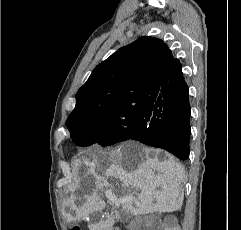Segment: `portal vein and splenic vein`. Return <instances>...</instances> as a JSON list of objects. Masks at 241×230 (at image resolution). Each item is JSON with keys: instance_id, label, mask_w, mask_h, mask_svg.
I'll return each mask as SVG.
<instances>
[{"instance_id": "portal-vein-and-splenic-vein-1", "label": "portal vein and splenic vein", "mask_w": 241, "mask_h": 230, "mask_svg": "<svg viewBox=\"0 0 241 230\" xmlns=\"http://www.w3.org/2000/svg\"><path fill=\"white\" fill-rule=\"evenodd\" d=\"M105 194H106V197H107L108 199L112 200V198H113L112 192H106Z\"/></svg>"}]
</instances>
